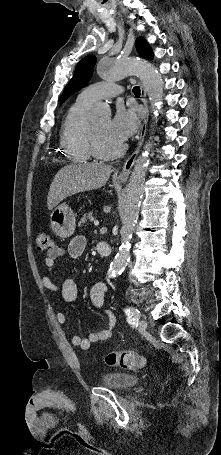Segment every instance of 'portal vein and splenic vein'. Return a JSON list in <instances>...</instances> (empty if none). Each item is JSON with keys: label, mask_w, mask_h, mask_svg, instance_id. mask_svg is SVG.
Wrapping results in <instances>:
<instances>
[{"label": "portal vein and splenic vein", "mask_w": 221, "mask_h": 455, "mask_svg": "<svg viewBox=\"0 0 221 455\" xmlns=\"http://www.w3.org/2000/svg\"><path fill=\"white\" fill-rule=\"evenodd\" d=\"M94 225L98 226L99 225V221L98 220H94Z\"/></svg>", "instance_id": "18ae733b"}]
</instances>
